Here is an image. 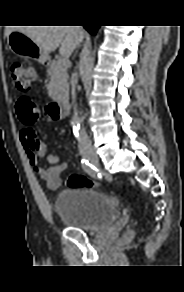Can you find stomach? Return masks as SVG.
Listing matches in <instances>:
<instances>
[{"mask_svg":"<svg viewBox=\"0 0 184 292\" xmlns=\"http://www.w3.org/2000/svg\"><path fill=\"white\" fill-rule=\"evenodd\" d=\"M7 42L9 49L18 56L32 58L41 64L47 63L49 59L46 51L21 32H11L8 35Z\"/></svg>","mask_w":184,"mask_h":292,"instance_id":"obj_1","label":"stomach"}]
</instances>
